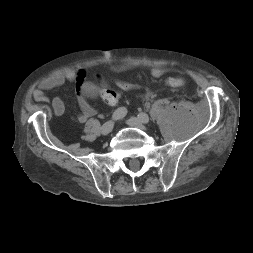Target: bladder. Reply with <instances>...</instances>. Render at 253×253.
Returning <instances> with one entry per match:
<instances>
[{"instance_id":"obj_1","label":"bladder","mask_w":253,"mask_h":253,"mask_svg":"<svg viewBox=\"0 0 253 253\" xmlns=\"http://www.w3.org/2000/svg\"><path fill=\"white\" fill-rule=\"evenodd\" d=\"M84 90H85V93L90 96L94 95L96 92V88L93 84H86L84 87Z\"/></svg>"}]
</instances>
